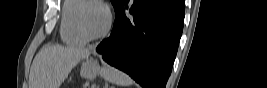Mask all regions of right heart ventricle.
I'll return each instance as SVG.
<instances>
[{
	"label": "right heart ventricle",
	"instance_id": "e07e8e85",
	"mask_svg": "<svg viewBox=\"0 0 267 88\" xmlns=\"http://www.w3.org/2000/svg\"><path fill=\"white\" fill-rule=\"evenodd\" d=\"M88 0H68L63 4L61 38L68 45L81 46L87 43V40L80 34L76 16L80 5Z\"/></svg>",
	"mask_w": 267,
	"mask_h": 88
}]
</instances>
